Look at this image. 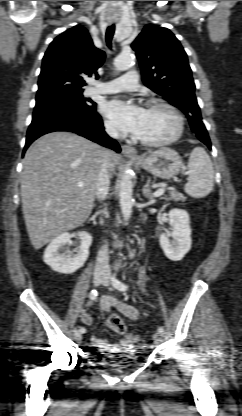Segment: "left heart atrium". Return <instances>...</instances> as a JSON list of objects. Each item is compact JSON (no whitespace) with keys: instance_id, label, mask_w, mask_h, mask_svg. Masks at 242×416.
<instances>
[{"instance_id":"obj_1","label":"left heart atrium","mask_w":242,"mask_h":416,"mask_svg":"<svg viewBox=\"0 0 242 416\" xmlns=\"http://www.w3.org/2000/svg\"><path fill=\"white\" fill-rule=\"evenodd\" d=\"M102 112L123 132L135 134L143 117L144 109L116 98L105 102Z\"/></svg>"}]
</instances>
